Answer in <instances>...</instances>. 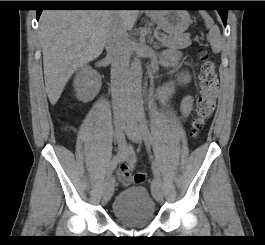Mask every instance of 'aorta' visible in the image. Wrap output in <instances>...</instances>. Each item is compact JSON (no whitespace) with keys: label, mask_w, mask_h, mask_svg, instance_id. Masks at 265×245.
<instances>
[{"label":"aorta","mask_w":265,"mask_h":245,"mask_svg":"<svg viewBox=\"0 0 265 245\" xmlns=\"http://www.w3.org/2000/svg\"><path fill=\"white\" fill-rule=\"evenodd\" d=\"M128 90L133 102L141 100L142 92V64L139 58H134L129 70Z\"/></svg>","instance_id":"obj_1"}]
</instances>
